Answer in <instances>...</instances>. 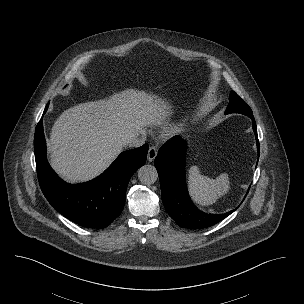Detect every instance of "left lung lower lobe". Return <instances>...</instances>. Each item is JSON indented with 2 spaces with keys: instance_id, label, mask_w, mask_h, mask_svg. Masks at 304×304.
Segmentation results:
<instances>
[{
  "instance_id": "obj_1",
  "label": "left lung lower lobe",
  "mask_w": 304,
  "mask_h": 304,
  "mask_svg": "<svg viewBox=\"0 0 304 304\" xmlns=\"http://www.w3.org/2000/svg\"><path fill=\"white\" fill-rule=\"evenodd\" d=\"M259 157V141L254 117H251ZM186 142L176 137L159 150L154 164L158 171L162 201L167 213L183 228L200 229L215 225L234 210L224 214H206L191 202L185 182Z\"/></svg>"
}]
</instances>
